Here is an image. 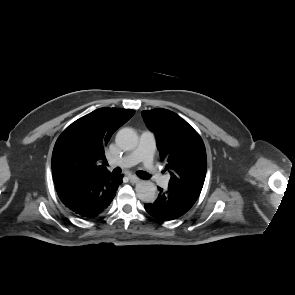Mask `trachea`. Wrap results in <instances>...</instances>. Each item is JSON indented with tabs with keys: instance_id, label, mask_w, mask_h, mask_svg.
I'll list each match as a JSON object with an SVG mask.
<instances>
[{
	"instance_id": "3493384b",
	"label": "trachea",
	"mask_w": 295,
	"mask_h": 295,
	"mask_svg": "<svg viewBox=\"0 0 295 295\" xmlns=\"http://www.w3.org/2000/svg\"><path fill=\"white\" fill-rule=\"evenodd\" d=\"M122 170L120 167H116L114 170H113V173L114 174H121ZM136 174L140 177V178H143V179H149L150 178V175L144 171H137Z\"/></svg>"
}]
</instances>
